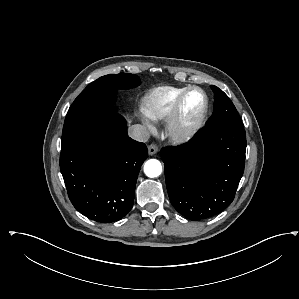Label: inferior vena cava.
<instances>
[{
	"label": "inferior vena cava",
	"mask_w": 299,
	"mask_h": 299,
	"mask_svg": "<svg viewBox=\"0 0 299 299\" xmlns=\"http://www.w3.org/2000/svg\"><path fill=\"white\" fill-rule=\"evenodd\" d=\"M129 136L136 141L146 142L148 141L150 134L145 126L135 124L129 128Z\"/></svg>",
	"instance_id": "1"
}]
</instances>
